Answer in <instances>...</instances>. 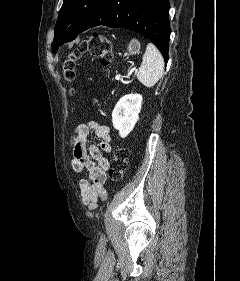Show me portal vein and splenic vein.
Instances as JSON below:
<instances>
[{
	"label": "portal vein and splenic vein",
	"mask_w": 240,
	"mask_h": 281,
	"mask_svg": "<svg viewBox=\"0 0 240 281\" xmlns=\"http://www.w3.org/2000/svg\"><path fill=\"white\" fill-rule=\"evenodd\" d=\"M137 71V68H133L131 71H129L125 76H116L115 79L118 81V80H122L124 78H129L130 75L133 73V72H136Z\"/></svg>",
	"instance_id": "18ae733b"
}]
</instances>
